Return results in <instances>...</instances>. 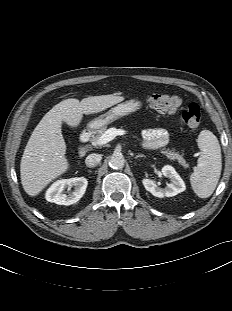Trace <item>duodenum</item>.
I'll use <instances>...</instances> for the list:
<instances>
[{
	"label": "duodenum",
	"instance_id": "410a0bca",
	"mask_svg": "<svg viewBox=\"0 0 232 311\" xmlns=\"http://www.w3.org/2000/svg\"><path fill=\"white\" fill-rule=\"evenodd\" d=\"M90 137H91V131L88 129L84 130L80 134V136H79L80 146L78 149V153H79L80 157L85 155V153H86L85 143H87L89 141Z\"/></svg>",
	"mask_w": 232,
	"mask_h": 311
}]
</instances>
